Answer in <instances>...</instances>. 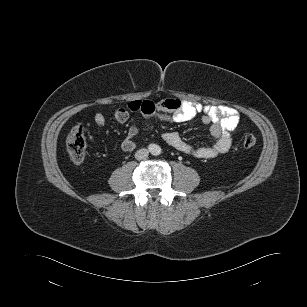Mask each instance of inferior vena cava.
<instances>
[{
    "instance_id": "602c4592",
    "label": "inferior vena cava",
    "mask_w": 307,
    "mask_h": 307,
    "mask_svg": "<svg viewBox=\"0 0 307 307\" xmlns=\"http://www.w3.org/2000/svg\"><path fill=\"white\" fill-rule=\"evenodd\" d=\"M148 155H149V151L147 149L142 148L135 153V158L137 160H143V159H146Z\"/></svg>"
}]
</instances>
